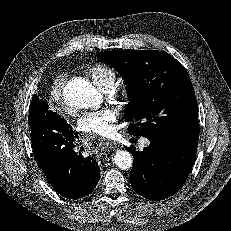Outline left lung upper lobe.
Returning a JSON list of instances; mask_svg holds the SVG:
<instances>
[{
	"instance_id": "obj_1",
	"label": "left lung upper lobe",
	"mask_w": 231,
	"mask_h": 231,
	"mask_svg": "<svg viewBox=\"0 0 231 231\" xmlns=\"http://www.w3.org/2000/svg\"><path fill=\"white\" fill-rule=\"evenodd\" d=\"M96 56L124 78L128 131L146 138L176 140L199 135L198 105L183 65L164 51H108Z\"/></svg>"
}]
</instances>
